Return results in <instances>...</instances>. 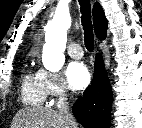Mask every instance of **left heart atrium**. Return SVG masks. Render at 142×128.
<instances>
[{
	"instance_id": "39dd6f15",
	"label": "left heart atrium",
	"mask_w": 142,
	"mask_h": 128,
	"mask_svg": "<svg viewBox=\"0 0 142 128\" xmlns=\"http://www.w3.org/2000/svg\"><path fill=\"white\" fill-rule=\"evenodd\" d=\"M68 86L75 91L85 89L90 83V73L81 62H71L65 72Z\"/></svg>"
}]
</instances>
